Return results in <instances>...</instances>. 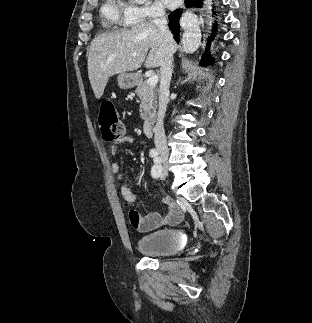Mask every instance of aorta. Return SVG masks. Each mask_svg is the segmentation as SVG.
I'll list each match as a JSON object with an SVG mask.
<instances>
[{"mask_svg": "<svg viewBox=\"0 0 312 323\" xmlns=\"http://www.w3.org/2000/svg\"><path fill=\"white\" fill-rule=\"evenodd\" d=\"M181 44L186 54L196 52L201 44L200 30H185Z\"/></svg>", "mask_w": 312, "mask_h": 323, "instance_id": "obj_1", "label": "aorta"}]
</instances>
